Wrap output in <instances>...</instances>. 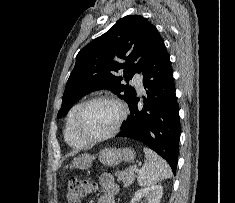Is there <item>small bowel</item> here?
<instances>
[{"instance_id":"small-bowel-1","label":"small bowel","mask_w":235,"mask_h":203,"mask_svg":"<svg viewBox=\"0 0 235 203\" xmlns=\"http://www.w3.org/2000/svg\"><path fill=\"white\" fill-rule=\"evenodd\" d=\"M99 183L103 189V193L98 199V203H115L118 193V185L110 174H103L99 178Z\"/></svg>"}]
</instances>
